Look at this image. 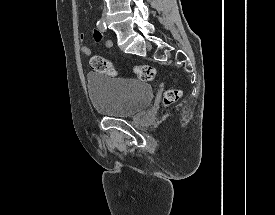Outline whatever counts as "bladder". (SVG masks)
I'll use <instances>...</instances> for the list:
<instances>
[{
  "label": "bladder",
  "instance_id": "obj_1",
  "mask_svg": "<svg viewBox=\"0 0 275 215\" xmlns=\"http://www.w3.org/2000/svg\"><path fill=\"white\" fill-rule=\"evenodd\" d=\"M93 108L107 117L125 118L146 109L152 99L153 89L138 79H116L103 73L86 76Z\"/></svg>",
  "mask_w": 275,
  "mask_h": 215
}]
</instances>
